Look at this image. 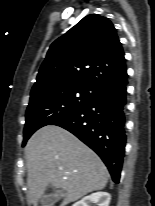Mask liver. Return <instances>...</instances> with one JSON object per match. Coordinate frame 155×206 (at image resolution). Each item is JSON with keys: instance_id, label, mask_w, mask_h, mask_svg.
Instances as JSON below:
<instances>
[{"instance_id": "liver-1", "label": "liver", "mask_w": 155, "mask_h": 206, "mask_svg": "<svg viewBox=\"0 0 155 206\" xmlns=\"http://www.w3.org/2000/svg\"><path fill=\"white\" fill-rule=\"evenodd\" d=\"M25 155L28 199L37 206L48 185L61 188V206L104 189L109 174L101 159L67 130L47 125L29 139Z\"/></svg>"}]
</instances>
